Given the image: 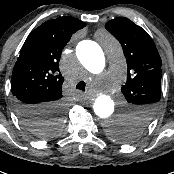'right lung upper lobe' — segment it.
<instances>
[{
	"instance_id": "1",
	"label": "right lung upper lobe",
	"mask_w": 174,
	"mask_h": 174,
	"mask_svg": "<svg viewBox=\"0 0 174 174\" xmlns=\"http://www.w3.org/2000/svg\"><path fill=\"white\" fill-rule=\"evenodd\" d=\"M85 25L73 17H59L46 21L26 39L15 63L11 83L14 96L31 95L33 98L26 103L39 109L35 112H21L25 121L42 119L45 116L43 109L62 98L64 79L59 72L61 52L72 34Z\"/></svg>"
}]
</instances>
